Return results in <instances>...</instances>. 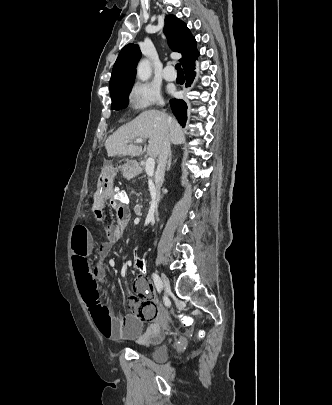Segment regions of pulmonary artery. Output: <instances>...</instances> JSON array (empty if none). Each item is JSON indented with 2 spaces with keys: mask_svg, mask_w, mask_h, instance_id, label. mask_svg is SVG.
<instances>
[{
  "mask_svg": "<svg viewBox=\"0 0 332 405\" xmlns=\"http://www.w3.org/2000/svg\"><path fill=\"white\" fill-rule=\"evenodd\" d=\"M163 78L167 81H174L177 78L176 72L173 70V67L168 65L163 70Z\"/></svg>",
  "mask_w": 332,
  "mask_h": 405,
  "instance_id": "pulmonary-artery-1",
  "label": "pulmonary artery"
}]
</instances>
